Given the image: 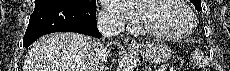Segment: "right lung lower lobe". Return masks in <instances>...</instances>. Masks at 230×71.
<instances>
[{
    "label": "right lung lower lobe",
    "instance_id": "right-lung-lower-lobe-1",
    "mask_svg": "<svg viewBox=\"0 0 230 71\" xmlns=\"http://www.w3.org/2000/svg\"><path fill=\"white\" fill-rule=\"evenodd\" d=\"M68 31L102 37L97 29L96 7H85L70 2L35 4L23 38V46L28 47L45 34Z\"/></svg>",
    "mask_w": 230,
    "mask_h": 71
}]
</instances>
